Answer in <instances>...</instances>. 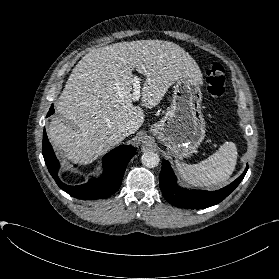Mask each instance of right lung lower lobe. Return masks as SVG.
<instances>
[{"label": "right lung lower lobe", "mask_w": 279, "mask_h": 279, "mask_svg": "<svg viewBox=\"0 0 279 279\" xmlns=\"http://www.w3.org/2000/svg\"><path fill=\"white\" fill-rule=\"evenodd\" d=\"M54 112L55 110L52 105L47 117ZM42 153L46 166L57 185L69 195L85 200L107 198L114 194L121 186L128 162L137 154L134 147L120 145L103 157L104 173L101 177L90 179L89 182L82 185L70 186L64 184L58 177L59 162L53 152L45 130L43 132Z\"/></svg>", "instance_id": "obj_1"}]
</instances>
